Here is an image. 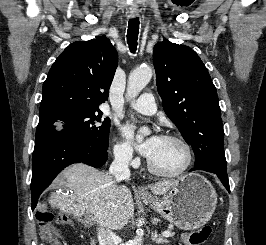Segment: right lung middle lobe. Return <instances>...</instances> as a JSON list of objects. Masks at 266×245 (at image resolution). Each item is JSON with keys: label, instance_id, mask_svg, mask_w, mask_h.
<instances>
[{"label": "right lung middle lobe", "instance_id": "dd1d6c3e", "mask_svg": "<svg viewBox=\"0 0 266 245\" xmlns=\"http://www.w3.org/2000/svg\"><path fill=\"white\" fill-rule=\"evenodd\" d=\"M102 114L99 108L62 112L52 118L39 121L35 139L38 141L56 133H66L107 150L110 120L102 119Z\"/></svg>", "mask_w": 266, "mask_h": 245}]
</instances>
